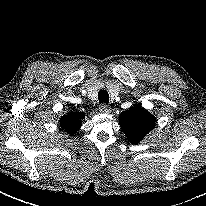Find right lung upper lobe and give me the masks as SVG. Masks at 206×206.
<instances>
[{
  "instance_id": "obj_1",
  "label": "right lung upper lobe",
  "mask_w": 206,
  "mask_h": 206,
  "mask_svg": "<svg viewBox=\"0 0 206 206\" xmlns=\"http://www.w3.org/2000/svg\"><path fill=\"white\" fill-rule=\"evenodd\" d=\"M84 114L80 112H70L63 116L60 120L61 128L64 129L69 135H74L81 127V120Z\"/></svg>"
}]
</instances>
